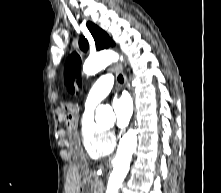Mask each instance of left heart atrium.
Here are the masks:
<instances>
[{
	"label": "left heart atrium",
	"instance_id": "obj_1",
	"mask_svg": "<svg viewBox=\"0 0 221 193\" xmlns=\"http://www.w3.org/2000/svg\"><path fill=\"white\" fill-rule=\"evenodd\" d=\"M112 107L115 114V123L118 127H125L132 116L133 105L130 98L123 94L113 99Z\"/></svg>",
	"mask_w": 221,
	"mask_h": 193
}]
</instances>
